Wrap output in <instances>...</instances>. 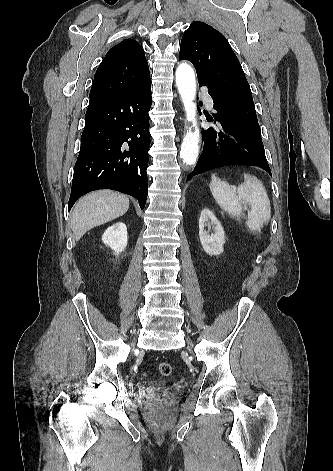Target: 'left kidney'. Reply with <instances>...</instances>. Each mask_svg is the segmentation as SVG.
Masks as SVG:
<instances>
[{
    "mask_svg": "<svg viewBox=\"0 0 333 471\" xmlns=\"http://www.w3.org/2000/svg\"><path fill=\"white\" fill-rule=\"evenodd\" d=\"M208 226V230H205ZM211 226L214 233L210 234ZM199 239L204 251L209 255H220L223 253L225 243L224 230L216 216L208 208L201 211L199 218Z\"/></svg>",
    "mask_w": 333,
    "mask_h": 471,
    "instance_id": "left-kidney-1",
    "label": "left kidney"
}]
</instances>
